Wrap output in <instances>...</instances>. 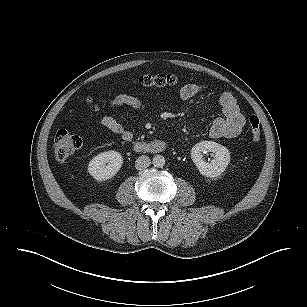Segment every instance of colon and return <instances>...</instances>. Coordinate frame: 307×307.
Returning a JSON list of instances; mask_svg holds the SVG:
<instances>
[{
  "label": "colon",
  "instance_id": "1",
  "mask_svg": "<svg viewBox=\"0 0 307 307\" xmlns=\"http://www.w3.org/2000/svg\"><path fill=\"white\" fill-rule=\"evenodd\" d=\"M177 77L169 74L144 75L138 79V84L147 89L164 90L178 85ZM92 108L97 104L90 102ZM249 135L253 143L258 144L261 140L260 122L257 116L252 115L248 119ZM82 138L77 132L61 129L56 134L53 151L55 158L59 161L67 159L81 147Z\"/></svg>",
  "mask_w": 307,
  "mask_h": 307
}]
</instances>
